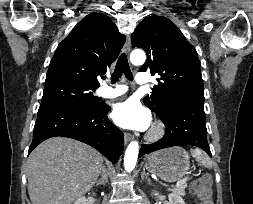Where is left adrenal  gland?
<instances>
[{
    "mask_svg": "<svg viewBox=\"0 0 253 204\" xmlns=\"http://www.w3.org/2000/svg\"><path fill=\"white\" fill-rule=\"evenodd\" d=\"M141 178L142 179L146 178L148 180V182L150 183V178L148 177V174L145 172V168H143Z\"/></svg>",
    "mask_w": 253,
    "mask_h": 204,
    "instance_id": "obj_1",
    "label": "left adrenal gland"
}]
</instances>
